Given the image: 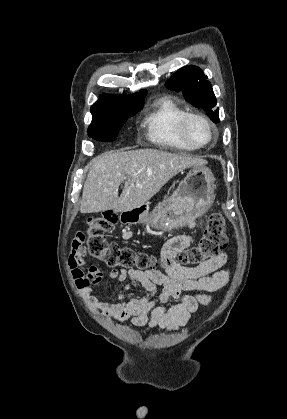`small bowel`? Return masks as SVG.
Wrapping results in <instances>:
<instances>
[{
  "instance_id": "small-bowel-1",
  "label": "small bowel",
  "mask_w": 287,
  "mask_h": 419,
  "mask_svg": "<svg viewBox=\"0 0 287 419\" xmlns=\"http://www.w3.org/2000/svg\"><path fill=\"white\" fill-rule=\"evenodd\" d=\"M193 239L180 234L170 238L162 249V257L171 259L166 274L158 270H111L108 278L123 285L118 293L117 303L100 301L93 286L103 280L101 270L86 263V249L75 238L68 259L72 276L94 314L103 318H112L122 322L131 319L133 325L146 328H160L169 331L177 330L187 324L200 304L211 301V294L223 287L229 279V272L222 269L227 261V254L206 263L190 268L180 265L175 257L188 248ZM141 285L146 295L140 298L127 299L126 293ZM163 287L156 295V286ZM188 292V294H184ZM108 295V294H103ZM172 299L179 302L166 307L164 304Z\"/></svg>"
}]
</instances>
